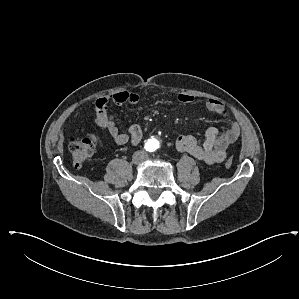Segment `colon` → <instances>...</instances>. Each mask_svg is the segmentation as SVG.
Instances as JSON below:
<instances>
[{"instance_id": "1", "label": "colon", "mask_w": 299, "mask_h": 299, "mask_svg": "<svg viewBox=\"0 0 299 299\" xmlns=\"http://www.w3.org/2000/svg\"><path fill=\"white\" fill-rule=\"evenodd\" d=\"M97 137L94 134H87L82 137H73L70 140L69 149L73 164L76 167L82 166L87 162L94 151ZM233 164V158L230 156L225 161V166L230 167Z\"/></svg>"}]
</instances>
